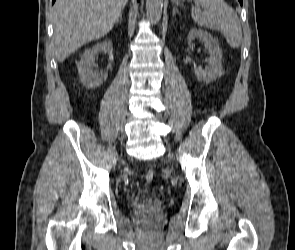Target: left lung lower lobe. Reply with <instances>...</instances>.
<instances>
[{
    "label": "left lung lower lobe",
    "mask_w": 295,
    "mask_h": 250,
    "mask_svg": "<svg viewBox=\"0 0 295 250\" xmlns=\"http://www.w3.org/2000/svg\"><path fill=\"white\" fill-rule=\"evenodd\" d=\"M240 4L242 5V0H239Z\"/></svg>",
    "instance_id": "obj_1"
}]
</instances>
